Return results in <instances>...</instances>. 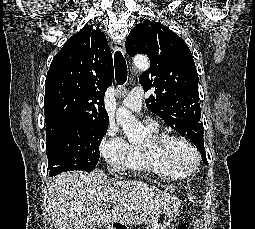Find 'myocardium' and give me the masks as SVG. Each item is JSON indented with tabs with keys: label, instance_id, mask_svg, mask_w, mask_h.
<instances>
[{
	"label": "myocardium",
	"instance_id": "myocardium-1",
	"mask_svg": "<svg viewBox=\"0 0 255 229\" xmlns=\"http://www.w3.org/2000/svg\"><path fill=\"white\" fill-rule=\"evenodd\" d=\"M169 141H177L184 144L192 152L194 159L189 165H177L165 154L163 146ZM148 147L161 161L172 170H188L193 172L200 164L201 156L195 145L182 135L174 133H158L153 135L147 142Z\"/></svg>",
	"mask_w": 255,
	"mask_h": 229
}]
</instances>
